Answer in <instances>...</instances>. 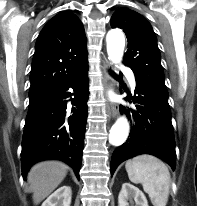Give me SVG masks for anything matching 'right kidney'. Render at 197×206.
Wrapping results in <instances>:
<instances>
[{
	"label": "right kidney",
	"mask_w": 197,
	"mask_h": 206,
	"mask_svg": "<svg viewBox=\"0 0 197 206\" xmlns=\"http://www.w3.org/2000/svg\"><path fill=\"white\" fill-rule=\"evenodd\" d=\"M71 188L62 186L52 193L41 206H70Z\"/></svg>",
	"instance_id": "ca27d5eb"
}]
</instances>
